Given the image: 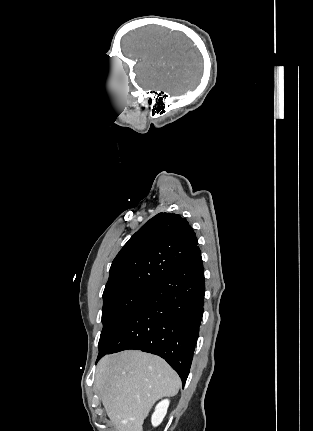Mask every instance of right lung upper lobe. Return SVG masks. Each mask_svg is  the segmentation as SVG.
<instances>
[{
  "label": "right lung upper lobe",
  "mask_w": 313,
  "mask_h": 431,
  "mask_svg": "<svg viewBox=\"0 0 313 431\" xmlns=\"http://www.w3.org/2000/svg\"><path fill=\"white\" fill-rule=\"evenodd\" d=\"M196 234L179 214L159 213L146 222L112 262L103 296L155 288L197 246Z\"/></svg>",
  "instance_id": "obj_1"
}]
</instances>
